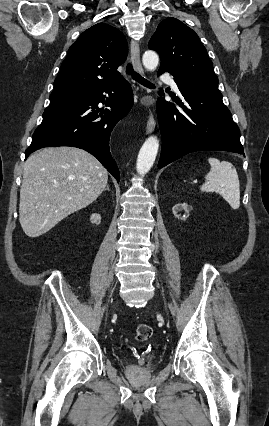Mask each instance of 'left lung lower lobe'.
Returning a JSON list of instances; mask_svg holds the SVG:
<instances>
[{"instance_id": "obj_1", "label": "left lung lower lobe", "mask_w": 269, "mask_h": 426, "mask_svg": "<svg viewBox=\"0 0 269 426\" xmlns=\"http://www.w3.org/2000/svg\"><path fill=\"white\" fill-rule=\"evenodd\" d=\"M164 72L174 76L186 103H178L182 109H177L164 99L157 101L162 135L158 168L195 151H230L244 155L239 128L222 101L218 83L198 82L196 78L163 68L158 75Z\"/></svg>"}]
</instances>
